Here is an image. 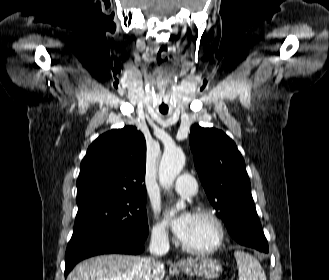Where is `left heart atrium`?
<instances>
[{
    "instance_id": "left-heart-atrium-1",
    "label": "left heart atrium",
    "mask_w": 329,
    "mask_h": 280,
    "mask_svg": "<svg viewBox=\"0 0 329 280\" xmlns=\"http://www.w3.org/2000/svg\"><path fill=\"white\" fill-rule=\"evenodd\" d=\"M194 214L191 212H183L177 216H172L170 213L167 214V219L180 240H184L190 229L191 223L193 221Z\"/></svg>"
}]
</instances>
